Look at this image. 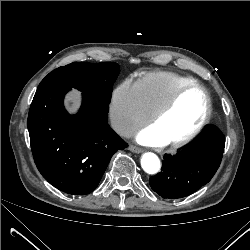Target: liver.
<instances>
[{
  "label": "liver",
  "instance_id": "6515ba94",
  "mask_svg": "<svg viewBox=\"0 0 250 250\" xmlns=\"http://www.w3.org/2000/svg\"><path fill=\"white\" fill-rule=\"evenodd\" d=\"M79 108V102L75 99L72 100V103L68 106V111L72 114L76 113Z\"/></svg>",
  "mask_w": 250,
  "mask_h": 250
}]
</instances>
